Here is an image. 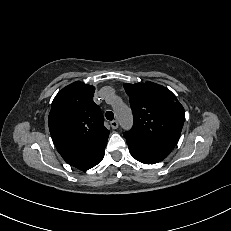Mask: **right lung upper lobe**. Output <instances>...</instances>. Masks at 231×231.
Listing matches in <instances>:
<instances>
[{"label": "right lung upper lobe", "mask_w": 231, "mask_h": 231, "mask_svg": "<svg viewBox=\"0 0 231 231\" xmlns=\"http://www.w3.org/2000/svg\"><path fill=\"white\" fill-rule=\"evenodd\" d=\"M95 88L74 82L54 98L48 124L53 142L70 165L87 170L104 157L109 130L103 115L93 102Z\"/></svg>", "instance_id": "1"}]
</instances>
